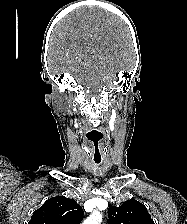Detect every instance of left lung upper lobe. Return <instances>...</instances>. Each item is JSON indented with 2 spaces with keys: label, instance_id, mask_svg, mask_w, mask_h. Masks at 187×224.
<instances>
[{
  "label": "left lung upper lobe",
  "instance_id": "obj_1",
  "mask_svg": "<svg viewBox=\"0 0 187 224\" xmlns=\"http://www.w3.org/2000/svg\"><path fill=\"white\" fill-rule=\"evenodd\" d=\"M108 214L109 224H154L146 207L135 199L120 207L110 206Z\"/></svg>",
  "mask_w": 187,
  "mask_h": 224
}]
</instances>
